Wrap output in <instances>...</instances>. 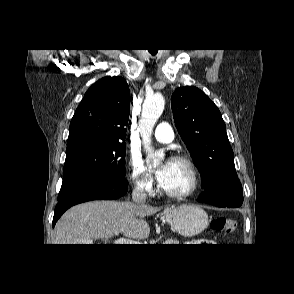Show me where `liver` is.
Segmentation results:
<instances>
[{"instance_id":"1","label":"liver","mask_w":294,"mask_h":294,"mask_svg":"<svg viewBox=\"0 0 294 294\" xmlns=\"http://www.w3.org/2000/svg\"><path fill=\"white\" fill-rule=\"evenodd\" d=\"M161 208L130 201H91L67 210L55 226L53 244H93V240L123 234L133 239L149 236L142 217Z\"/></svg>"}]
</instances>
